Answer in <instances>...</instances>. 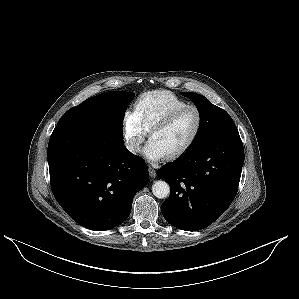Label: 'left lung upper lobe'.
Returning <instances> with one entry per match:
<instances>
[{
	"instance_id": "1",
	"label": "left lung upper lobe",
	"mask_w": 299,
	"mask_h": 299,
	"mask_svg": "<svg viewBox=\"0 0 299 299\" xmlns=\"http://www.w3.org/2000/svg\"><path fill=\"white\" fill-rule=\"evenodd\" d=\"M181 94L194 101L200 115V127L189 149L199 147L228 125L234 124L225 110L213 105L204 96L192 92H181Z\"/></svg>"
}]
</instances>
